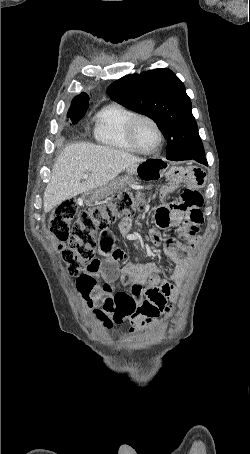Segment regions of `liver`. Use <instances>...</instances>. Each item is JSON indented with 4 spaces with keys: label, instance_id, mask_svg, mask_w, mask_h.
<instances>
[{
    "label": "liver",
    "instance_id": "obj_1",
    "mask_svg": "<svg viewBox=\"0 0 250 454\" xmlns=\"http://www.w3.org/2000/svg\"><path fill=\"white\" fill-rule=\"evenodd\" d=\"M144 160L126 151L91 143L66 146L53 166L45 189L44 212L51 211L67 199L108 184L125 169ZM85 173H89V177L81 182Z\"/></svg>",
    "mask_w": 250,
    "mask_h": 454
}]
</instances>
